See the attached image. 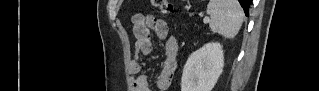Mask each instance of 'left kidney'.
I'll use <instances>...</instances> for the list:
<instances>
[{"label": "left kidney", "mask_w": 319, "mask_h": 91, "mask_svg": "<svg viewBox=\"0 0 319 91\" xmlns=\"http://www.w3.org/2000/svg\"><path fill=\"white\" fill-rule=\"evenodd\" d=\"M223 46L210 42L193 52L183 69L181 91H211L222 74Z\"/></svg>", "instance_id": "left-kidney-1"}]
</instances>
